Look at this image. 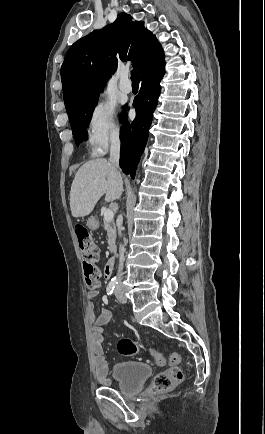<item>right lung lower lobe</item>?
I'll return each instance as SVG.
<instances>
[{
    "label": "right lung lower lobe",
    "instance_id": "1",
    "mask_svg": "<svg viewBox=\"0 0 265 434\" xmlns=\"http://www.w3.org/2000/svg\"><path fill=\"white\" fill-rule=\"evenodd\" d=\"M164 54L145 61L140 70L142 80L139 94L135 97L133 107L136 109V118L129 124L127 116L123 117L121 132L120 166L125 174L134 178L136 164L144 150L148 139V130L152 121V114L158 103L160 94V80L164 70Z\"/></svg>",
    "mask_w": 265,
    "mask_h": 434
}]
</instances>
